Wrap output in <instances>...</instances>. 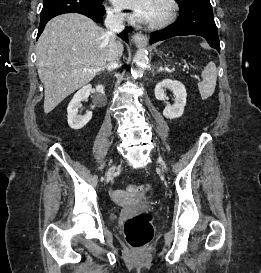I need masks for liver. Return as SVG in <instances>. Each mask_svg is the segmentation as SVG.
Listing matches in <instances>:
<instances>
[{
    "mask_svg": "<svg viewBox=\"0 0 261 273\" xmlns=\"http://www.w3.org/2000/svg\"><path fill=\"white\" fill-rule=\"evenodd\" d=\"M109 43L107 31L78 13L59 15L46 24L36 44L46 114L104 68Z\"/></svg>",
    "mask_w": 261,
    "mask_h": 273,
    "instance_id": "6515ba94",
    "label": "liver"
}]
</instances>
